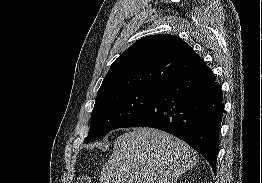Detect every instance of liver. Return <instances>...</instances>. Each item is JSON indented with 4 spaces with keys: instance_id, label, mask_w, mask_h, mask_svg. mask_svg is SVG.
<instances>
[{
    "instance_id": "obj_1",
    "label": "liver",
    "mask_w": 262,
    "mask_h": 183,
    "mask_svg": "<svg viewBox=\"0 0 262 183\" xmlns=\"http://www.w3.org/2000/svg\"><path fill=\"white\" fill-rule=\"evenodd\" d=\"M197 162V153L175 136L136 128L116 138L100 183H175Z\"/></svg>"
}]
</instances>
